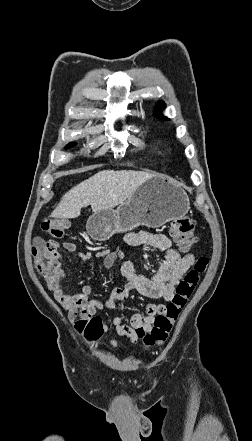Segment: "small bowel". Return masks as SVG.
Here are the masks:
<instances>
[{"label": "small bowel", "instance_id": "obj_1", "mask_svg": "<svg viewBox=\"0 0 252 441\" xmlns=\"http://www.w3.org/2000/svg\"><path fill=\"white\" fill-rule=\"evenodd\" d=\"M126 241L130 245L146 244L164 252V261L152 276L138 274L134 264L131 261H125L124 255L120 251L101 250L93 254L78 252L77 245L71 242L62 244L66 251L76 253L84 263L90 262L93 258H102L104 267L109 269L117 260L122 261L121 274L126 279V284L123 287L114 288L104 303L97 299H91L92 288L89 285H83L78 294L65 293V274L62 271L58 282L47 281L48 288L53 292L56 302L67 311L68 320L76 332L84 331L87 323L99 310H114L119 302L128 297L131 290H136L146 297L163 301L148 304L144 313H132L129 316V324L123 323L121 317L113 318L112 324L117 333L127 337L131 342H137L136 330L151 331L155 317L164 313L165 306L171 301L178 283L195 261L192 253L181 255L164 234L150 231L130 232L126 235ZM58 258H60L59 253ZM110 344L117 347L118 342L113 339Z\"/></svg>", "mask_w": 252, "mask_h": 441}]
</instances>
